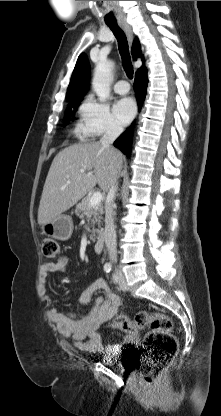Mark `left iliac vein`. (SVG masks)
Returning <instances> with one entry per match:
<instances>
[{
    "label": "left iliac vein",
    "mask_w": 221,
    "mask_h": 416,
    "mask_svg": "<svg viewBox=\"0 0 221 416\" xmlns=\"http://www.w3.org/2000/svg\"><path fill=\"white\" fill-rule=\"evenodd\" d=\"M119 287L123 291L127 289V284H126L125 277L123 274H120L119 276Z\"/></svg>",
    "instance_id": "4c4485c4"
}]
</instances>
